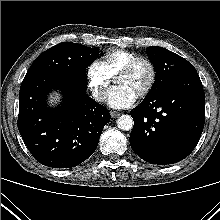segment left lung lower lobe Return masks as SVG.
<instances>
[{
	"label": "left lung lower lobe",
	"mask_w": 220,
	"mask_h": 220,
	"mask_svg": "<svg viewBox=\"0 0 220 220\" xmlns=\"http://www.w3.org/2000/svg\"><path fill=\"white\" fill-rule=\"evenodd\" d=\"M131 116L134 127L129 141L140 158L159 165L186 158L197 145L205 121V96L197 71L148 94Z\"/></svg>",
	"instance_id": "1"
}]
</instances>
